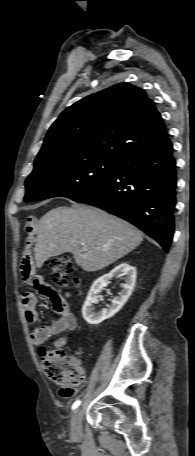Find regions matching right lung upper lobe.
<instances>
[{"instance_id":"1","label":"right lung upper lobe","mask_w":195,"mask_h":456,"mask_svg":"<svg viewBox=\"0 0 195 456\" xmlns=\"http://www.w3.org/2000/svg\"><path fill=\"white\" fill-rule=\"evenodd\" d=\"M169 142L154 102L142 89L122 83L65 109L48 130L35 165L79 157L120 162Z\"/></svg>"}]
</instances>
